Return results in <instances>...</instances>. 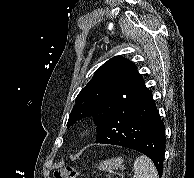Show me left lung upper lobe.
<instances>
[{"label": "left lung upper lobe", "instance_id": "obj_1", "mask_svg": "<svg viewBox=\"0 0 194 178\" xmlns=\"http://www.w3.org/2000/svg\"><path fill=\"white\" fill-rule=\"evenodd\" d=\"M145 89L143 77L135 64L122 56H115L104 63L80 91L67 127L86 117H92L98 126L122 101Z\"/></svg>", "mask_w": 194, "mask_h": 178}]
</instances>
